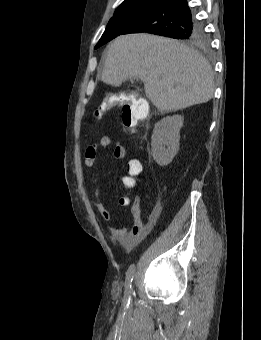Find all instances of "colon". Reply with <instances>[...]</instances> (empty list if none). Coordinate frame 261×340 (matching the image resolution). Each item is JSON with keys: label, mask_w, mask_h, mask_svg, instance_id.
Wrapping results in <instances>:
<instances>
[{"label": "colon", "mask_w": 261, "mask_h": 340, "mask_svg": "<svg viewBox=\"0 0 261 340\" xmlns=\"http://www.w3.org/2000/svg\"><path fill=\"white\" fill-rule=\"evenodd\" d=\"M115 105L114 100H105L100 103L93 112L95 119L101 118L109 109ZM148 115V105L144 100L132 99L125 103L122 107V121L124 126L129 132H134L137 124L144 120ZM128 169L132 175H138L142 171V166L139 161L133 160L129 163ZM127 186L132 187L134 185L133 179L128 180L125 183ZM127 199H121V203L124 204Z\"/></svg>", "instance_id": "colon-1"}]
</instances>
